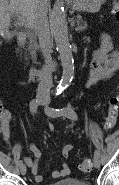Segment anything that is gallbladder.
Instances as JSON below:
<instances>
[{"instance_id":"1","label":"gallbladder","mask_w":119,"mask_h":185,"mask_svg":"<svg viewBox=\"0 0 119 185\" xmlns=\"http://www.w3.org/2000/svg\"><path fill=\"white\" fill-rule=\"evenodd\" d=\"M1 36L6 40L9 41L10 38L12 37V33L9 31H4L3 33H1Z\"/></svg>"}]
</instances>
